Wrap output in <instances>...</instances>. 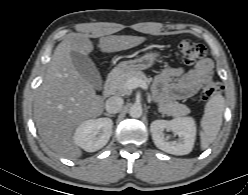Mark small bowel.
Masks as SVG:
<instances>
[{"instance_id":"c3829d8e","label":"small bowel","mask_w":248,"mask_h":195,"mask_svg":"<svg viewBox=\"0 0 248 195\" xmlns=\"http://www.w3.org/2000/svg\"><path fill=\"white\" fill-rule=\"evenodd\" d=\"M212 73L213 64L209 59L199 61L188 72L182 67L164 68L155 80L154 97L159 103L189 98Z\"/></svg>"}]
</instances>
